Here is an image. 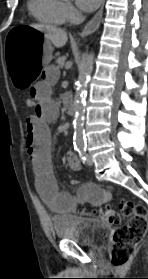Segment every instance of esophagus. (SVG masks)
Wrapping results in <instances>:
<instances>
[{"mask_svg":"<svg viewBox=\"0 0 148 279\" xmlns=\"http://www.w3.org/2000/svg\"><path fill=\"white\" fill-rule=\"evenodd\" d=\"M104 9V2L98 12L93 16V18L85 25L84 29L81 31L80 36L85 37L94 33L100 26L102 15Z\"/></svg>","mask_w":148,"mask_h":279,"instance_id":"obj_1","label":"esophagus"}]
</instances>
